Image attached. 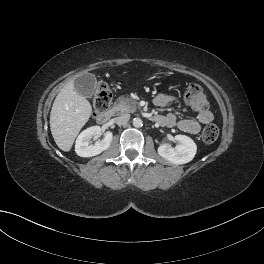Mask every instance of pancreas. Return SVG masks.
Segmentation results:
<instances>
[{
	"label": "pancreas",
	"mask_w": 264,
	"mask_h": 264,
	"mask_svg": "<svg viewBox=\"0 0 264 264\" xmlns=\"http://www.w3.org/2000/svg\"><path fill=\"white\" fill-rule=\"evenodd\" d=\"M113 109L117 114L134 113L137 109V102L128 98L119 97L114 103Z\"/></svg>",
	"instance_id": "pancreas-1"
}]
</instances>
